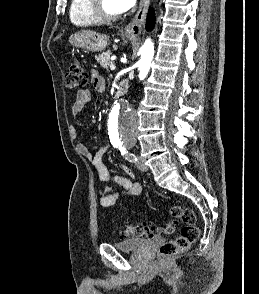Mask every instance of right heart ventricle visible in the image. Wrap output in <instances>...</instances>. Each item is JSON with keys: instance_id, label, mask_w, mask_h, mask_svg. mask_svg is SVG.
Instances as JSON below:
<instances>
[{"instance_id": "right-heart-ventricle-1", "label": "right heart ventricle", "mask_w": 259, "mask_h": 294, "mask_svg": "<svg viewBox=\"0 0 259 294\" xmlns=\"http://www.w3.org/2000/svg\"><path fill=\"white\" fill-rule=\"evenodd\" d=\"M70 21L79 27L90 26L99 23L89 10V0H72L69 10Z\"/></svg>"}]
</instances>
